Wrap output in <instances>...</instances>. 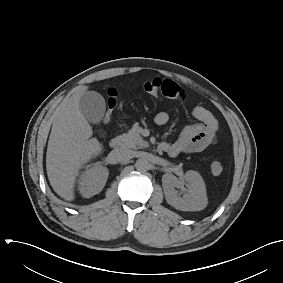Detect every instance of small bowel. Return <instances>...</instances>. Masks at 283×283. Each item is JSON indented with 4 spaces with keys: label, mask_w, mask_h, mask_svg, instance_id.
Returning <instances> with one entry per match:
<instances>
[{
    "label": "small bowel",
    "mask_w": 283,
    "mask_h": 283,
    "mask_svg": "<svg viewBox=\"0 0 283 283\" xmlns=\"http://www.w3.org/2000/svg\"><path fill=\"white\" fill-rule=\"evenodd\" d=\"M160 94L177 100H184L186 96L180 85L170 79L162 80ZM192 116L197 122L185 127L175 142L161 143L163 145L162 151L171 156L180 153H196L207 149L216 142L219 126L213 114L204 107L196 106L192 110ZM168 120L169 116L164 111L158 112L154 119L159 126L165 125Z\"/></svg>",
    "instance_id": "small-bowel-1"
}]
</instances>
